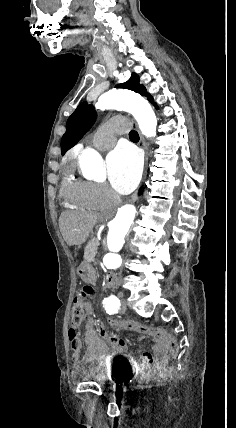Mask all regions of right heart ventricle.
<instances>
[{"mask_svg": "<svg viewBox=\"0 0 236 428\" xmlns=\"http://www.w3.org/2000/svg\"><path fill=\"white\" fill-rule=\"evenodd\" d=\"M83 156L76 157L68 168L60 186L61 196L69 203L89 210H97L102 207L100 201L92 191V184L81 178H75L73 169L81 164Z\"/></svg>", "mask_w": 236, "mask_h": 428, "instance_id": "right-heart-ventricle-1", "label": "right heart ventricle"}]
</instances>
